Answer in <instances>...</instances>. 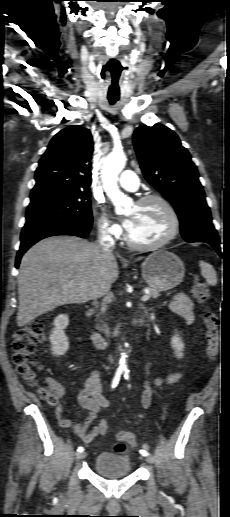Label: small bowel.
I'll use <instances>...</instances> for the list:
<instances>
[{
    "mask_svg": "<svg viewBox=\"0 0 230 517\" xmlns=\"http://www.w3.org/2000/svg\"><path fill=\"white\" fill-rule=\"evenodd\" d=\"M169 308L173 313L183 317L188 324L193 322L194 303L185 294L175 295L169 303ZM100 377L101 373L94 371L85 380L83 389L77 395L79 405L88 411L87 416L81 423H74L64 418L62 405H57L54 410V417L58 426L71 430L85 444H90L95 438L104 435L108 429L106 421H100L97 425L92 426L100 411L109 406V402L103 396ZM181 377L182 372H174L161 377L147 379L141 398L143 407L148 408L155 401L153 386L161 389L164 385L177 382ZM70 381L75 384V381L71 379ZM126 432L120 431L117 434V439L121 438Z\"/></svg>",
    "mask_w": 230,
    "mask_h": 517,
    "instance_id": "obj_1",
    "label": "small bowel"
}]
</instances>
